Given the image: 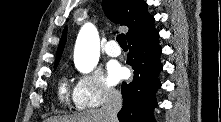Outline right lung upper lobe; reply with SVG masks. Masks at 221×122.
Masks as SVG:
<instances>
[{"mask_svg":"<svg viewBox=\"0 0 221 122\" xmlns=\"http://www.w3.org/2000/svg\"><path fill=\"white\" fill-rule=\"evenodd\" d=\"M102 7L107 17L116 24L129 28L127 40L141 34L154 23V18L147 12L143 0H103ZM67 28L64 29L59 43L55 67L58 65L66 42Z\"/></svg>","mask_w":221,"mask_h":122,"instance_id":"1","label":"right lung upper lobe"}]
</instances>
